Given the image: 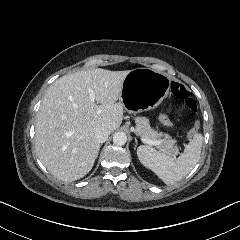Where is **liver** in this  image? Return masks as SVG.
<instances>
[{"mask_svg": "<svg viewBox=\"0 0 240 240\" xmlns=\"http://www.w3.org/2000/svg\"><path fill=\"white\" fill-rule=\"evenodd\" d=\"M130 70H80L54 81L36 116V153L56 178L74 181L92 168L100 149L99 129L110 132L122 122L123 105L117 101ZM95 93L96 105L88 89Z\"/></svg>", "mask_w": 240, "mask_h": 240, "instance_id": "liver-1", "label": "liver"}]
</instances>
